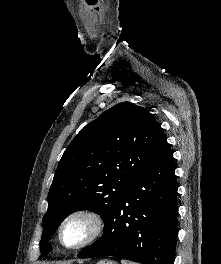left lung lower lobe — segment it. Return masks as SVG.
Listing matches in <instances>:
<instances>
[{"label": "left lung lower lobe", "instance_id": "left-lung-lower-lobe-1", "mask_svg": "<svg viewBox=\"0 0 221 264\" xmlns=\"http://www.w3.org/2000/svg\"><path fill=\"white\" fill-rule=\"evenodd\" d=\"M177 184L168 144L135 179L104 221V234L79 258L115 256L141 264H174Z\"/></svg>", "mask_w": 221, "mask_h": 264}]
</instances>
